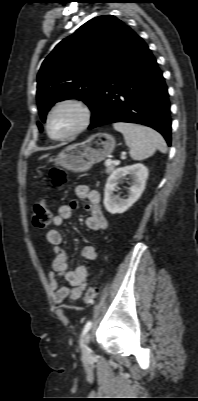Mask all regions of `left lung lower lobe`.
Here are the masks:
<instances>
[{
  "instance_id": "obj_1",
  "label": "left lung lower lobe",
  "mask_w": 198,
  "mask_h": 401,
  "mask_svg": "<svg viewBox=\"0 0 198 401\" xmlns=\"http://www.w3.org/2000/svg\"><path fill=\"white\" fill-rule=\"evenodd\" d=\"M91 111L89 129L114 122L138 123L157 130L171 145L167 87L139 36L106 79Z\"/></svg>"
}]
</instances>
